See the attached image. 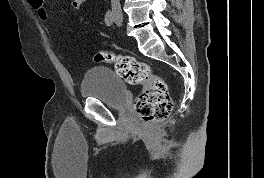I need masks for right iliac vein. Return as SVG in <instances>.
Segmentation results:
<instances>
[{"instance_id": "63e3f726", "label": "right iliac vein", "mask_w": 264, "mask_h": 178, "mask_svg": "<svg viewBox=\"0 0 264 178\" xmlns=\"http://www.w3.org/2000/svg\"><path fill=\"white\" fill-rule=\"evenodd\" d=\"M116 18H117V19H120V18H121V16L117 15V16H116Z\"/></svg>"}]
</instances>
